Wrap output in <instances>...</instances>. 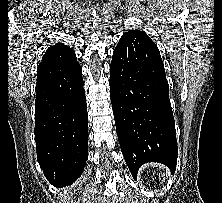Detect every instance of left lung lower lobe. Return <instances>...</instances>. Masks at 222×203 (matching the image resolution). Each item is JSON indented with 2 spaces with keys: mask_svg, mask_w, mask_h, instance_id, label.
<instances>
[{
  "mask_svg": "<svg viewBox=\"0 0 222 203\" xmlns=\"http://www.w3.org/2000/svg\"><path fill=\"white\" fill-rule=\"evenodd\" d=\"M116 131L132 176L144 163L175 171L178 148L169 85L156 44L142 31L123 34L110 65Z\"/></svg>",
  "mask_w": 222,
  "mask_h": 203,
  "instance_id": "0a47b994",
  "label": "left lung lower lobe"
}]
</instances>
